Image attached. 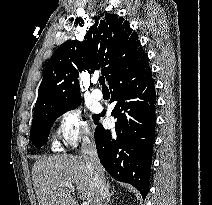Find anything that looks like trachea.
I'll return each mask as SVG.
<instances>
[{"label": "trachea", "mask_w": 212, "mask_h": 205, "mask_svg": "<svg viewBox=\"0 0 212 205\" xmlns=\"http://www.w3.org/2000/svg\"><path fill=\"white\" fill-rule=\"evenodd\" d=\"M99 83H100L103 87H106L104 76H100V77H99Z\"/></svg>", "instance_id": "1"}]
</instances>
